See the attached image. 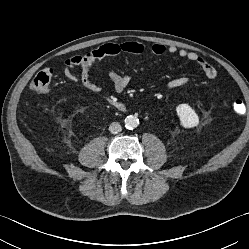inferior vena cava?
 <instances>
[{
  "label": "inferior vena cava",
  "instance_id": "obj_1",
  "mask_svg": "<svg viewBox=\"0 0 249 249\" xmlns=\"http://www.w3.org/2000/svg\"><path fill=\"white\" fill-rule=\"evenodd\" d=\"M121 130H122V127L118 122H112L109 126V131L112 134H117V133L121 132Z\"/></svg>",
  "mask_w": 249,
  "mask_h": 249
}]
</instances>
